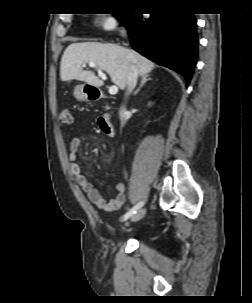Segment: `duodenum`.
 I'll use <instances>...</instances> for the list:
<instances>
[{"mask_svg": "<svg viewBox=\"0 0 252 303\" xmlns=\"http://www.w3.org/2000/svg\"><path fill=\"white\" fill-rule=\"evenodd\" d=\"M88 99L90 100H97L105 98L103 94H101L98 91H94L93 89H86L85 90ZM99 128L102 130V132L108 137L113 138L115 135L114 126L109 120V115L104 114L99 118L98 121Z\"/></svg>", "mask_w": 252, "mask_h": 303, "instance_id": "1", "label": "duodenum"}]
</instances>
